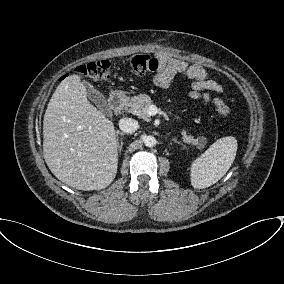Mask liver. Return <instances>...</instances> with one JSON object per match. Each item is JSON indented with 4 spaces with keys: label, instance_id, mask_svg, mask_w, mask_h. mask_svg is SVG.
Masks as SVG:
<instances>
[{
    "label": "liver",
    "instance_id": "6515ba94",
    "mask_svg": "<svg viewBox=\"0 0 284 284\" xmlns=\"http://www.w3.org/2000/svg\"><path fill=\"white\" fill-rule=\"evenodd\" d=\"M112 121L87 99L78 75L56 88L43 120V156L51 172L78 190H101L117 173L118 146Z\"/></svg>",
    "mask_w": 284,
    "mask_h": 284
}]
</instances>
